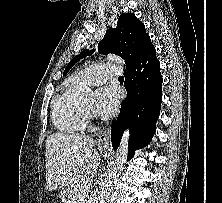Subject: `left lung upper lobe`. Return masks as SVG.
Segmentation results:
<instances>
[{"label":"left lung upper lobe","instance_id":"5c2ea615","mask_svg":"<svg viewBox=\"0 0 222 203\" xmlns=\"http://www.w3.org/2000/svg\"><path fill=\"white\" fill-rule=\"evenodd\" d=\"M148 37L144 24L133 13H123L118 18L116 28L110 27L99 42L98 51L101 54L113 53L122 57L127 68L135 61ZM93 52L94 49L82 51L67 65L63 75H66L76 62Z\"/></svg>","mask_w":222,"mask_h":203}]
</instances>
